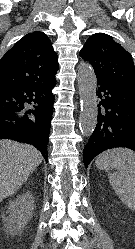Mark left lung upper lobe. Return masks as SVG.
Here are the masks:
<instances>
[{"label": "left lung upper lobe", "mask_w": 135, "mask_h": 249, "mask_svg": "<svg viewBox=\"0 0 135 249\" xmlns=\"http://www.w3.org/2000/svg\"><path fill=\"white\" fill-rule=\"evenodd\" d=\"M80 56L91 63L97 80L135 90L132 56L112 36L104 33L93 34L81 49Z\"/></svg>", "instance_id": "1"}]
</instances>
